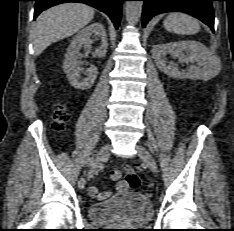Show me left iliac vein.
Here are the masks:
<instances>
[{
	"instance_id": "obj_1",
	"label": "left iliac vein",
	"mask_w": 234,
	"mask_h": 231,
	"mask_svg": "<svg viewBox=\"0 0 234 231\" xmlns=\"http://www.w3.org/2000/svg\"><path fill=\"white\" fill-rule=\"evenodd\" d=\"M138 156L149 166L151 171L155 173L157 171V164L154 157L150 152L143 146L137 145Z\"/></svg>"
}]
</instances>
